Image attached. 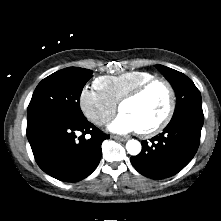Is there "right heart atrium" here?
I'll use <instances>...</instances> for the list:
<instances>
[{
    "label": "right heart atrium",
    "mask_w": 221,
    "mask_h": 221,
    "mask_svg": "<svg viewBox=\"0 0 221 221\" xmlns=\"http://www.w3.org/2000/svg\"><path fill=\"white\" fill-rule=\"evenodd\" d=\"M79 105L85 117L97 126L107 123L117 109V104L96 87H85L81 91Z\"/></svg>",
    "instance_id": "1"
}]
</instances>
